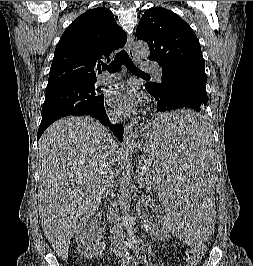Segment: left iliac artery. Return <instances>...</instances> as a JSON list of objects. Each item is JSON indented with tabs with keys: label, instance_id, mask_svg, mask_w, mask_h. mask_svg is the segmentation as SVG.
I'll use <instances>...</instances> for the list:
<instances>
[{
	"label": "left iliac artery",
	"instance_id": "obj_1",
	"mask_svg": "<svg viewBox=\"0 0 253 266\" xmlns=\"http://www.w3.org/2000/svg\"><path fill=\"white\" fill-rule=\"evenodd\" d=\"M135 255H136L137 259H138L141 263H144V264H146V266H148L147 261H146V259L144 258V256L140 255L137 251H136Z\"/></svg>",
	"mask_w": 253,
	"mask_h": 266
}]
</instances>
